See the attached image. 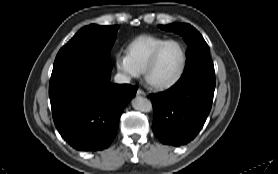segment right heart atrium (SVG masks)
I'll use <instances>...</instances> for the list:
<instances>
[{"label": "right heart atrium", "instance_id": "right-heart-atrium-1", "mask_svg": "<svg viewBox=\"0 0 278 174\" xmlns=\"http://www.w3.org/2000/svg\"><path fill=\"white\" fill-rule=\"evenodd\" d=\"M116 66L125 77L131 78L139 75V71L133 66L126 55H119L116 59Z\"/></svg>", "mask_w": 278, "mask_h": 174}]
</instances>
